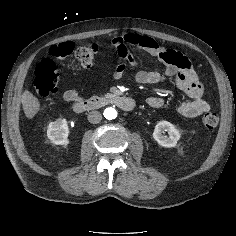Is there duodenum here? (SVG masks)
Masks as SVG:
<instances>
[{"label": "duodenum", "mask_w": 236, "mask_h": 236, "mask_svg": "<svg viewBox=\"0 0 236 236\" xmlns=\"http://www.w3.org/2000/svg\"><path fill=\"white\" fill-rule=\"evenodd\" d=\"M108 103L114 104L124 111H132L135 108L134 99L123 95H113L110 97L93 96L90 98L81 99L74 104L73 111L76 113H82L85 111L98 109Z\"/></svg>", "instance_id": "410a0bca"}]
</instances>
